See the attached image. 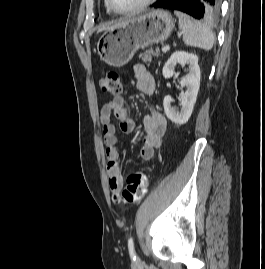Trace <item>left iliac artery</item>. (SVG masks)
Instances as JSON below:
<instances>
[{
    "mask_svg": "<svg viewBox=\"0 0 265 269\" xmlns=\"http://www.w3.org/2000/svg\"><path fill=\"white\" fill-rule=\"evenodd\" d=\"M128 249H129L130 256L133 258V260H135L136 256L134 253V241L132 237H130V239L128 240Z\"/></svg>",
    "mask_w": 265,
    "mask_h": 269,
    "instance_id": "left-iliac-artery-1",
    "label": "left iliac artery"
}]
</instances>
